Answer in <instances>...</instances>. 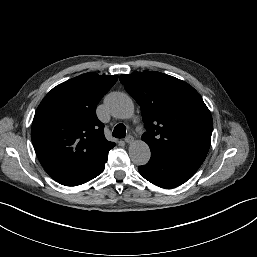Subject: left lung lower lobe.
<instances>
[{
    "instance_id": "left-lung-lower-lobe-1",
    "label": "left lung lower lobe",
    "mask_w": 257,
    "mask_h": 257,
    "mask_svg": "<svg viewBox=\"0 0 257 257\" xmlns=\"http://www.w3.org/2000/svg\"><path fill=\"white\" fill-rule=\"evenodd\" d=\"M207 154L201 152L165 153L151 150V159L139 166L140 174L152 184L162 188H174L193 176Z\"/></svg>"
}]
</instances>
